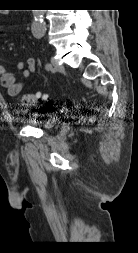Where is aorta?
<instances>
[{"label":"aorta","mask_w":138,"mask_h":253,"mask_svg":"<svg viewBox=\"0 0 138 253\" xmlns=\"http://www.w3.org/2000/svg\"><path fill=\"white\" fill-rule=\"evenodd\" d=\"M31 30L35 38H41L45 34L46 25L44 22V10H33Z\"/></svg>","instance_id":"762f6f07"}]
</instances>
